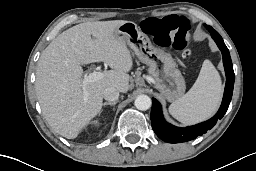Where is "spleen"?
Returning a JSON list of instances; mask_svg holds the SVG:
<instances>
[{"mask_svg":"<svg viewBox=\"0 0 256 171\" xmlns=\"http://www.w3.org/2000/svg\"><path fill=\"white\" fill-rule=\"evenodd\" d=\"M222 93L218 71L205 60L191 89L169 106V113L183 124L205 120L219 107Z\"/></svg>","mask_w":256,"mask_h":171,"instance_id":"spleen-1","label":"spleen"}]
</instances>
